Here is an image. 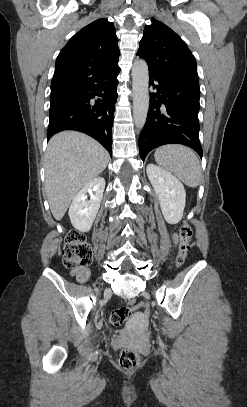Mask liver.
<instances>
[{
  "instance_id": "obj_1",
  "label": "liver",
  "mask_w": 247,
  "mask_h": 407,
  "mask_svg": "<svg viewBox=\"0 0 247 407\" xmlns=\"http://www.w3.org/2000/svg\"><path fill=\"white\" fill-rule=\"evenodd\" d=\"M108 152L76 131L54 135L45 154V190L53 217L61 220L77 192L102 173Z\"/></svg>"
}]
</instances>
